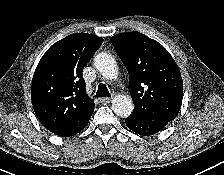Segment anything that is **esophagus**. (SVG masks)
Wrapping results in <instances>:
<instances>
[{"label": "esophagus", "mask_w": 224, "mask_h": 175, "mask_svg": "<svg viewBox=\"0 0 224 175\" xmlns=\"http://www.w3.org/2000/svg\"><path fill=\"white\" fill-rule=\"evenodd\" d=\"M111 101V98L110 97H103L100 99V102L103 103V104H107Z\"/></svg>", "instance_id": "34e87169"}]
</instances>
